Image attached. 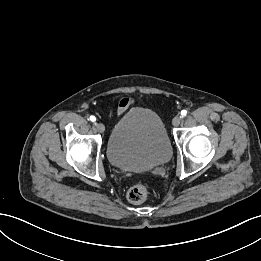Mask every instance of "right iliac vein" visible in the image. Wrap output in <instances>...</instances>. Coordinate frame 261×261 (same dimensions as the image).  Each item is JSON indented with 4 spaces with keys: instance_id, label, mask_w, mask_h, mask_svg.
I'll return each instance as SVG.
<instances>
[{
    "instance_id": "63e3f726",
    "label": "right iliac vein",
    "mask_w": 261,
    "mask_h": 261,
    "mask_svg": "<svg viewBox=\"0 0 261 261\" xmlns=\"http://www.w3.org/2000/svg\"><path fill=\"white\" fill-rule=\"evenodd\" d=\"M94 126L100 133H103L105 131V126L102 123H95Z\"/></svg>"
}]
</instances>
